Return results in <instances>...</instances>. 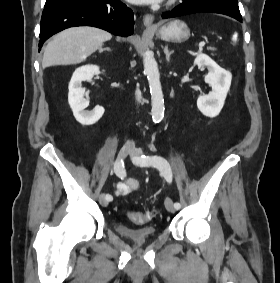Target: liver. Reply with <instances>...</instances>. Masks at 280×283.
Segmentation results:
<instances>
[{
  "label": "liver",
  "instance_id": "6515ba94",
  "mask_svg": "<svg viewBox=\"0 0 280 283\" xmlns=\"http://www.w3.org/2000/svg\"><path fill=\"white\" fill-rule=\"evenodd\" d=\"M112 35L95 27H73L53 37L44 50L42 66L72 65L83 62L101 49Z\"/></svg>",
  "mask_w": 280,
  "mask_h": 283
}]
</instances>
